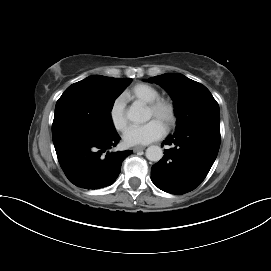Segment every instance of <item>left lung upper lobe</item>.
<instances>
[{
  "instance_id": "obj_1",
  "label": "left lung upper lobe",
  "mask_w": 271,
  "mask_h": 271,
  "mask_svg": "<svg viewBox=\"0 0 271 271\" xmlns=\"http://www.w3.org/2000/svg\"><path fill=\"white\" fill-rule=\"evenodd\" d=\"M163 87L174 101L176 131L198 124H220L219 105L202 84L182 74H163L148 79Z\"/></svg>"
}]
</instances>
